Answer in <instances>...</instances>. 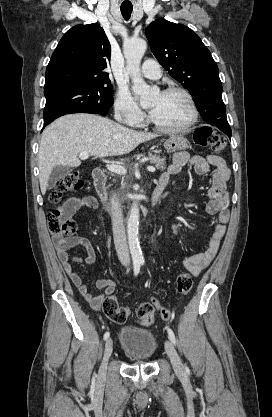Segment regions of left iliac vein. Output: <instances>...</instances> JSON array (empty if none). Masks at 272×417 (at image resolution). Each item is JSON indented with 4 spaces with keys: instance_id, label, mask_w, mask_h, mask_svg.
I'll return each mask as SVG.
<instances>
[{
    "instance_id": "4c4485c4",
    "label": "left iliac vein",
    "mask_w": 272,
    "mask_h": 417,
    "mask_svg": "<svg viewBox=\"0 0 272 417\" xmlns=\"http://www.w3.org/2000/svg\"><path fill=\"white\" fill-rule=\"evenodd\" d=\"M165 351L171 360L174 370L181 373L183 371V364L172 342L169 340L165 341Z\"/></svg>"
}]
</instances>
